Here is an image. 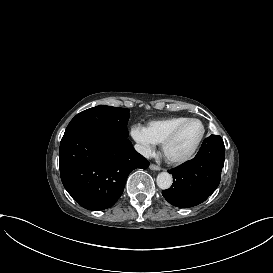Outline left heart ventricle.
<instances>
[{"label": "left heart ventricle", "instance_id": "1", "mask_svg": "<svg viewBox=\"0 0 273 273\" xmlns=\"http://www.w3.org/2000/svg\"><path fill=\"white\" fill-rule=\"evenodd\" d=\"M202 133L203 125L200 121L195 120L187 123L168 147V154L172 157L185 156L196 145Z\"/></svg>", "mask_w": 273, "mask_h": 273}]
</instances>
